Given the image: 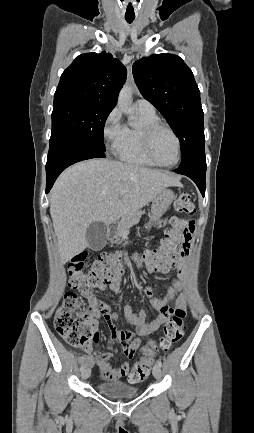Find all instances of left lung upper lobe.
I'll use <instances>...</instances> for the list:
<instances>
[{
  "instance_id": "obj_1",
  "label": "left lung upper lobe",
  "mask_w": 254,
  "mask_h": 433,
  "mask_svg": "<svg viewBox=\"0 0 254 433\" xmlns=\"http://www.w3.org/2000/svg\"><path fill=\"white\" fill-rule=\"evenodd\" d=\"M132 69L143 97L160 111L179 138V167L206 168L200 91L190 68L179 56L162 53L136 61Z\"/></svg>"
}]
</instances>
